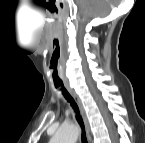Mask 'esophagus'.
Segmentation results:
<instances>
[{"instance_id": "obj_1", "label": "esophagus", "mask_w": 145, "mask_h": 143, "mask_svg": "<svg viewBox=\"0 0 145 143\" xmlns=\"http://www.w3.org/2000/svg\"><path fill=\"white\" fill-rule=\"evenodd\" d=\"M66 88H67L68 92L70 93V95L72 96V98L74 99V101L76 102V104L79 107L80 114H81V117H82V120H83V123H84L86 134L89 136L90 129H89V124H88V120H87V116H86L83 104H82L78 94L74 91V89H72L69 85H66Z\"/></svg>"}]
</instances>
